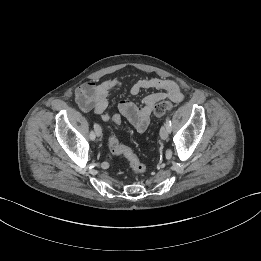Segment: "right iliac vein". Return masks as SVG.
<instances>
[{
	"mask_svg": "<svg viewBox=\"0 0 261 261\" xmlns=\"http://www.w3.org/2000/svg\"><path fill=\"white\" fill-rule=\"evenodd\" d=\"M95 133L98 137H100L102 135V129L99 125L95 129Z\"/></svg>",
	"mask_w": 261,
	"mask_h": 261,
	"instance_id": "63e3f726",
	"label": "right iliac vein"
}]
</instances>
